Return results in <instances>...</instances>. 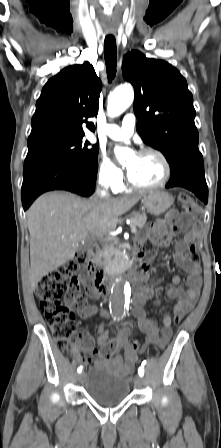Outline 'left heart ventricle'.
Returning <instances> with one entry per match:
<instances>
[{
    "label": "left heart ventricle",
    "mask_w": 221,
    "mask_h": 448,
    "mask_svg": "<svg viewBox=\"0 0 221 448\" xmlns=\"http://www.w3.org/2000/svg\"><path fill=\"white\" fill-rule=\"evenodd\" d=\"M131 178L139 184L152 185L159 182L164 176V167L158 157L135 155L127 164Z\"/></svg>",
    "instance_id": "left-heart-ventricle-1"
}]
</instances>
